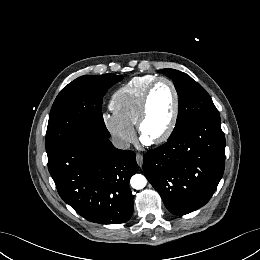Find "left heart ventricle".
I'll list each match as a JSON object with an SVG mask.
<instances>
[{"label": "left heart ventricle", "instance_id": "b2bd125f", "mask_svg": "<svg viewBox=\"0 0 260 260\" xmlns=\"http://www.w3.org/2000/svg\"><path fill=\"white\" fill-rule=\"evenodd\" d=\"M174 109V95L167 83H160L154 89L148 113L143 123V135L146 139H154L167 129Z\"/></svg>", "mask_w": 260, "mask_h": 260}]
</instances>
